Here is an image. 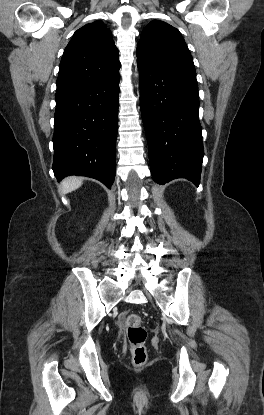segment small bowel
<instances>
[{
	"instance_id": "obj_1",
	"label": "small bowel",
	"mask_w": 264,
	"mask_h": 415,
	"mask_svg": "<svg viewBox=\"0 0 264 415\" xmlns=\"http://www.w3.org/2000/svg\"><path fill=\"white\" fill-rule=\"evenodd\" d=\"M124 319V315H121L119 318V321H122Z\"/></svg>"
}]
</instances>
